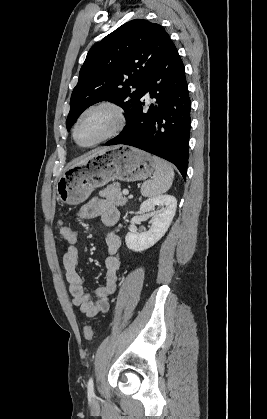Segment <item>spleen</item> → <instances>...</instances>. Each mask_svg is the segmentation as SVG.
Instances as JSON below:
<instances>
[{"instance_id":"spleen-1","label":"spleen","mask_w":267,"mask_h":419,"mask_svg":"<svg viewBox=\"0 0 267 419\" xmlns=\"http://www.w3.org/2000/svg\"><path fill=\"white\" fill-rule=\"evenodd\" d=\"M155 172L152 180L142 184L141 194L144 197H154L167 192L174 179V170L165 160L153 156Z\"/></svg>"}]
</instances>
